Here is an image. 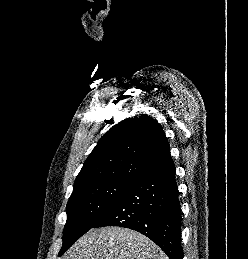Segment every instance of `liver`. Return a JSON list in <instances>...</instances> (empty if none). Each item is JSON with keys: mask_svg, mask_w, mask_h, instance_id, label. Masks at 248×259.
<instances>
[{"mask_svg": "<svg viewBox=\"0 0 248 259\" xmlns=\"http://www.w3.org/2000/svg\"><path fill=\"white\" fill-rule=\"evenodd\" d=\"M64 259H169L149 238L134 230L110 226L91 229Z\"/></svg>", "mask_w": 248, "mask_h": 259, "instance_id": "6515ba94", "label": "liver"}]
</instances>
